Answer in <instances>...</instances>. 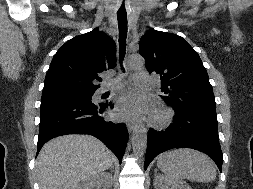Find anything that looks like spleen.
Returning a JSON list of instances; mask_svg holds the SVG:
<instances>
[{"instance_id":"1","label":"spleen","mask_w":253,"mask_h":189,"mask_svg":"<svg viewBox=\"0 0 253 189\" xmlns=\"http://www.w3.org/2000/svg\"><path fill=\"white\" fill-rule=\"evenodd\" d=\"M158 168L173 180L211 182L216 178L214 162L205 154L189 149H174L158 156Z\"/></svg>"}]
</instances>
